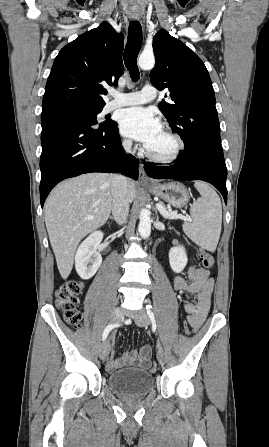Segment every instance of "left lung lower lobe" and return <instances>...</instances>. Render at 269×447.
<instances>
[{"instance_id": "left-lung-lower-lobe-1", "label": "left lung lower lobe", "mask_w": 269, "mask_h": 447, "mask_svg": "<svg viewBox=\"0 0 269 447\" xmlns=\"http://www.w3.org/2000/svg\"><path fill=\"white\" fill-rule=\"evenodd\" d=\"M144 169L155 179L203 180L214 185L227 204V169L220 145H202L190 154L181 153L175 164L158 167L146 164Z\"/></svg>"}]
</instances>
